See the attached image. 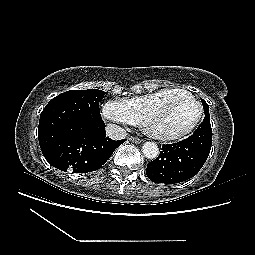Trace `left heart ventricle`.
<instances>
[{"label": "left heart ventricle", "mask_w": 255, "mask_h": 255, "mask_svg": "<svg viewBox=\"0 0 255 255\" xmlns=\"http://www.w3.org/2000/svg\"><path fill=\"white\" fill-rule=\"evenodd\" d=\"M197 112L195 104L184 98H176L156 115L150 127L158 132H180L194 121Z\"/></svg>", "instance_id": "obj_1"}]
</instances>
